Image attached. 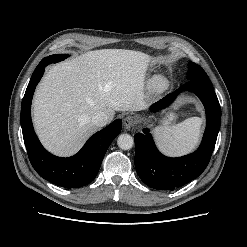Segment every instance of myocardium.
<instances>
[{
	"mask_svg": "<svg viewBox=\"0 0 247 247\" xmlns=\"http://www.w3.org/2000/svg\"><path fill=\"white\" fill-rule=\"evenodd\" d=\"M167 87H168V81L163 76H155L150 81V88L156 93H161L165 91Z\"/></svg>",
	"mask_w": 247,
	"mask_h": 247,
	"instance_id": "1",
	"label": "myocardium"
}]
</instances>
